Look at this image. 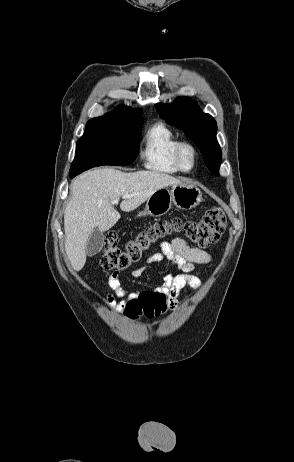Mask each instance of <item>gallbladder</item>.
Here are the masks:
<instances>
[{
    "instance_id": "1",
    "label": "gallbladder",
    "mask_w": 294,
    "mask_h": 462,
    "mask_svg": "<svg viewBox=\"0 0 294 462\" xmlns=\"http://www.w3.org/2000/svg\"><path fill=\"white\" fill-rule=\"evenodd\" d=\"M104 243V234L98 228L94 229L87 239L86 243V254L92 257L98 254Z\"/></svg>"
}]
</instances>
